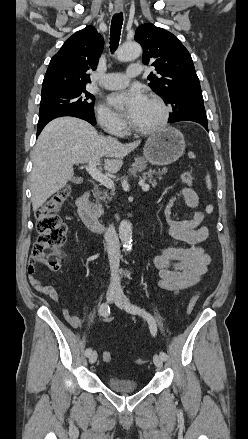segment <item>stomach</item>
Returning a JSON list of instances; mask_svg holds the SVG:
<instances>
[{"label":"stomach","instance_id":"obj_1","mask_svg":"<svg viewBox=\"0 0 248 439\" xmlns=\"http://www.w3.org/2000/svg\"><path fill=\"white\" fill-rule=\"evenodd\" d=\"M183 134L168 127L151 135L144 146V160L154 165H168L177 161L184 152Z\"/></svg>","mask_w":248,"mask_h":439}]
</instances>
